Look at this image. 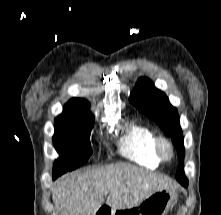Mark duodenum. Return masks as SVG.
Segmentation results:
<instances>
[{"mask_svg": "<svg viewBox=\"0 0 221 215\" xmlns=\"http://www.w3.org/2000/svg\"><path fill=\"white\" fill-rule=\"evenodd\" d=\"M97 215H109V211L107 209L100 210Z\"/></svg>", "mask_w": 221, "mask_h": 215, "instance_id": "1", "label": "duodenum"}]
</instances>
